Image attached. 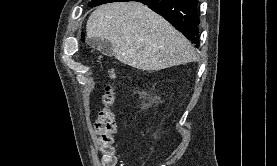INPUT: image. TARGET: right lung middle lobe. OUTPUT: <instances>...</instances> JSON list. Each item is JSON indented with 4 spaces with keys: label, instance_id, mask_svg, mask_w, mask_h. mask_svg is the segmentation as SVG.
Segmentation results:
<instances>
[{
    "label": "right lung middle lobe",
    "instance_id": "right-lung-middle-lobe-1",
    "mask_svg": "<svg viewBox=\"0 0 277 166\" xmlns=\"http://www.w3.org/2000/svg\"><path fill=\"white\" fill-rule=\"evenodd\" d=\"M112 2V0H93L92 2H90V7H95L101 4H106V3H110Z\"/></svg>",
    "mask_w": 277,
    "mask_h": 166
}]
</instances>
